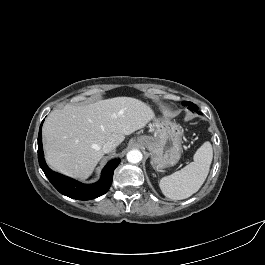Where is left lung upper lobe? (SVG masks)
Masks as SVG:
<instances>
[{"label": "left lung upper lobe", "instance_id": "obj_1", "mask_svg": "<svg viewBox=\"0 0 265 265\" xmlns=\"http://www.w3.org/2000/svg\"><path fill=\"white\" fill-rule=\"evenodd\" d=\"M182 104L184 106H188L191 111H197L198 112V107L195 104H193L192 102L183 101ZM198 113L201 114L200 112H198Z\"/></svg>", "mask_w": 265, "mask_h": 265}]
</instances>
